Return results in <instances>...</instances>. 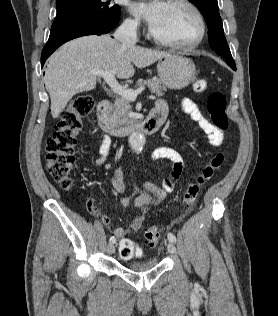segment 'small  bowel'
<instances>
[{
    "label": "small bowel",
    "instance_id": "1",
    "mask_svg": "<svg viewBox=\"0 0 278 316\" xmlns=\"http://www.w3.org/2000/svg\"><path fill=\"white\" fill-rule=\"evenodd\" d=\"M156 107H161L167 111V105L164 101H158ZM182 108L193 121H195L201 130L207 135L210 143L218 147L223 143L224 134L221 130L216 128L201 112L199 107L191 100L184 99L182 101ZM111 146L110 138L107 136L102 137L98 142L96 164L102 165L109 153ZM150 159L152 161L166 160L171 163V171L162 181V186L159 187L151 182H144L141 190H134L130 196L123 197L121 199V205L124 208H129L133 203L139 211V214L132 220L127 230L117 227L113 230V234L123 240L128 232L139 231L144 223L145 214L148 210V206L153 203H157L165 199L167 193L172 192L181 177L184 170V160L180 153L175 149L167 146H161L153 150ZM110 182L115 190L118 192L123 191L124 183L122 172L119 168H116L114 175L111 177ZM102 221L106 225L111 224V220L102 215Z\"/></svg>",
    "mask_w": 278,
    "mask_h": 316
}]
</instances>
